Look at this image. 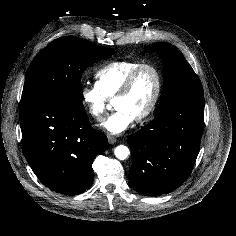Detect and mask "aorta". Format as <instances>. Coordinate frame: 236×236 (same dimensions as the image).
<instances>
[{"instance_id": "aorta-1", "label": "aorta", "mask_w": 236, "mask_h": 236, "mask_svg": "<svg viewBox=\"0 0 236 236\" xmlns=\"http://www.w3.org/2000/svg\"><path fill=\"white\" fill-rule=\"evenodd\" d=\"M115 156L119 159V160H125L129 154V148L124 146V145H119L115 148Z\"/></svg>"}]
</instances>
